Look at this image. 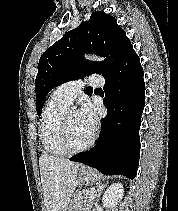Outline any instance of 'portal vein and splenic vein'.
<instances>
[{"mask_svg": "<svg viewBox=\"0 0 178 211\" xmlns=\"http://www.w3.org/2000/svg\"><path fill=\"white\" fill-rule=\"evenodd\" d=\"M95 195H92L91 198H94Z\"/></svg>", "mask_w": 178, "mask_h": 211, "instance_id": "portal-vein-and-splenic-vein-1", "label": "portal vein and splenic vein"}]
</instances>
